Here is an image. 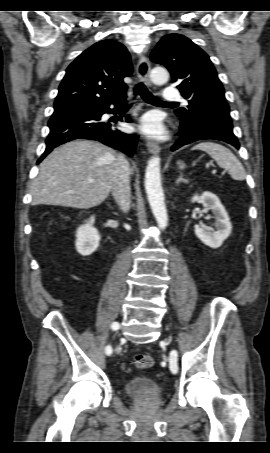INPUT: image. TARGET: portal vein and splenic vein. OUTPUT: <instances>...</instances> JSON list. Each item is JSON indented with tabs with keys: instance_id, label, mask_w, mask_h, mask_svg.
<instances>
[{
	"instance_id": "portal-vein-and-splenic-vein-1",
	"label": "portal vein and splenic vein",
	"mask_w": 270,
	"mask_h": 453,
	"mask_svg": "<svg viewBox=\"0 0 270 453\" xmlns=\"http://www.w3.org/2000/svg\"><path fill=\"white\" fill-rule=\"evenodd\" d=\"M212 173L215 174V173H216V170H213ZM88 182H89V183H92L93 180H89Z\"/></svg>"
}]
</instances>
